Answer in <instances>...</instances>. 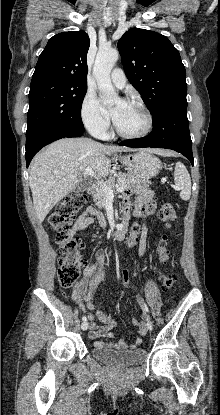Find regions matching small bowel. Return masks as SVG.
I'll return each mask as SVG.
<instances>
[{
    "instance_id": "1",
    "label": "small bowel",
    "mask_w": 220,
    "mask_h": 415,
    "mask_svg": "<svg viewBox=\"0 0 220 415\" xmlns=\"http://www.w3.org/2000/svg\"><path fill=\"white\" fill-rule=\"evenodd\" d=\"M134 191H136L138 195L135 199H132ZM148 205L153 206V192L147 188V186L142 185L135 190L126 191L123 201V216H126L128 219L129 215L133 214L139 219L138 222L133 223L130 227L126 243L131 247L139 242V254L141 256L145 255L147 246L146 217L144 209ZM95 219H97L101 225L106 224L103 216L98 210L95 207L89 206L79 215L68 231L75 235L93 224ZM104 261V250L97 249L94 254V259L86 265L83 270L82 278L75 284L71 291L72 298L81 306V308L83 310L87 309L91 311L88 315L90 320V331L88 335L92 339L113 338L115 335L113 331L116 324L115 320L103 310L96 309L94 304L97 285L107 271L104 266ZM124 278H126L127 281H125ZM128 281L129 274L124 272L120 280V286L127 284ZM94 318L100 322V325L94 322ZM132 323L138 326L139 334V337H137L133 343L128 344L125 340H119L110 344L96 341L94 342V345L98 347H109L116 350L137 348L142 343L141 337L147 334V328L145 323L139 322L136 319H133Z\"/></svg>"
}]
</instances>
